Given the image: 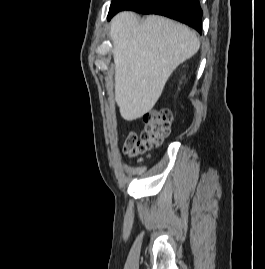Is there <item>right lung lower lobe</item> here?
<instances>
[{
    "instance_id": "obj_1",
    "label": "right lung lower lobe",
    "mask_w": 265,
    "mask_h": 269,
    "mask_svg": "<svg viewBox=\"0 0 265 269\" xmlns=\"http://www.w3.org/2000/svg\"><path fill=\"white\" fill-rule=\"evenodd\" d=\"M122 10L167 16L193 27L200 33L202 31L199 0H115L110 7L108 20Z\"/></svg>"
}]
</instances>
